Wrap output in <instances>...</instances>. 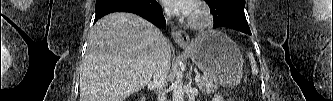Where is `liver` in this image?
<instances>
[{"instance_id":"liver-1","label":"liver","mask_w":333,"mask_h":101,"mask_svg":"<svg viewBox=\"0 0 333 101\" xmlns=\"http://www.w3.org/2000/svg\"><path fill=\"white\" fill-rule=\"evenodd\" d=\"M165 37L134 14L112 13L93 27L80 69V101H124L154 73Z\"/></svg>"}]
</instances>
